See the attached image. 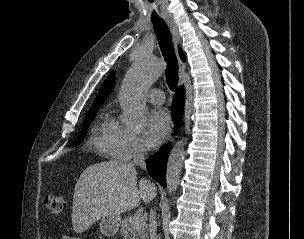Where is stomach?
Instances as JSON below:
<instances>
[{"instance_id":"stomach-1","label":"stomach","mask_w":304,"mask_h":239,"mask_svg":"<svg viewBox=\"0 0 304 239\" xmlns=\"http://www.w3.org/2000/svg\"><path fill=\"white\" fill-rule=\"evenodd\" d=\"M120 224L121 219L119 216L102 217L99 224L100 232L106 237L114 236L118 232Z\"/></svg>"}]
</instances>
